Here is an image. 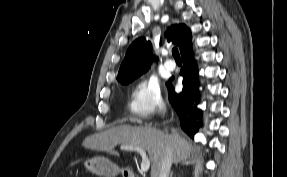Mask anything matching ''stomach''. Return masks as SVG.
Listing matches in <instances>:
<instances>
[{"mask_svg":"<svg viewBox=\"0 0 287 177\" xmlns=\"http://www.w3.org/2000/svg\"><path fill=\"white\" fill-rule=\"evenodd\" d=\"M83 166L86 171L91 172L100 177H115L118 174L124 172L116 164L103 156H95L92 158H86L83 161Z\"/></svg>","mask_w":287,"mask_h":177,"instance_id":"1","label":"stomach"}]
</instances>
